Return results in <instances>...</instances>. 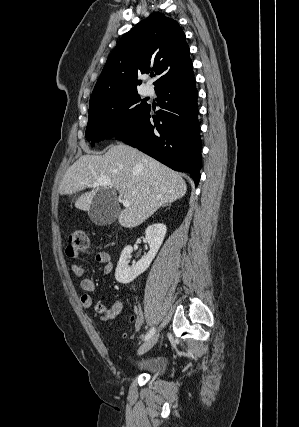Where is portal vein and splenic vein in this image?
<instances>
[{"label":"portal vein and splenic vein","instance_id":"portal-vein-and-splenic-vein-1","mask_svg":"<svg viewBox=\"0 0 299 427\" xmlns=\"http://www.w3.org/2000/svg\"><path fill=\"white\" fill-rule=\"evenodd\" d=\"M111 184L110 179L108 178H102L100 180H98L94 186H109ZM122 203L125 207H129L130 206V202L128 200H122Z\"/></svg>","mask_w":299,"mask_h":427}]
</instances>
